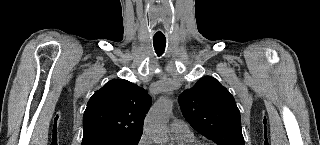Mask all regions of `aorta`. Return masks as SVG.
<instances>
[{
  "mask_svg": "<svg viewBox=\"0 0 320 145\" xmlns=\"http://www.w3.org/2000/svg\"><path fill=\"white\" fill-rule=\"evenodd\" d=\"M171 109L172 101L168 97H163L153 105L145 119V133L152 136L158 144L167 141V120Z\"/></svg>",
  "mask_w": 320,
  "mask_h": 145,
  "instance_id": "1",
  "label": "aorta"
}]
</instances>
